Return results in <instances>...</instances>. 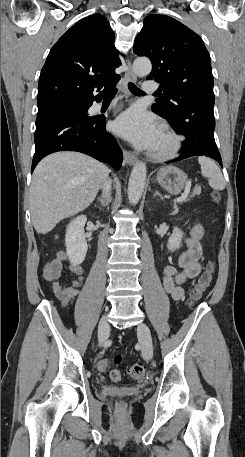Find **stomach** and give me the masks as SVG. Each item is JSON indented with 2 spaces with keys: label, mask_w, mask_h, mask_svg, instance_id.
Instances as JSON below:
<instances>
[{
  "label": "stomach",
  "mask_w": 245,
  "mask_h": 457,
  "mask_svg": "<svg viewBox=\"0 0 245 457\" xmlns=\"http://www.w3.org/2000/svg\"><path fill=\"white\" fill-rule=\"evenodd\" d=\"M156 180L171 194H178L187 182V174L177 166H162L157 172Z\"/></svg>",
  "instance_id": "0dacf381"
}]
</instances>
